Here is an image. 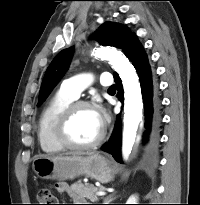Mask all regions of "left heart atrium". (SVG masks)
I'll list each match as a JSON object with an SVG mask.
<instances>
[{
    "instance_id": "left-heart-atrium-1",
    "label": "left heart atrium",
    "mask_w": 200,
    "mask_h": 205,
    "mask_svg": "<svg viewBox=\"0 0 200 205\" xmlns=\"http://www.w3.org/2000/svg\"><path fill=\"white\" fill-rule=\"evenodd\" d=\"M95 113H96L98 119L100 120V122L102 124H104V121L106 119V114H105L104 110L101 109V108H98V109L95 110Z\"/></svg>"
}]
</instances>
